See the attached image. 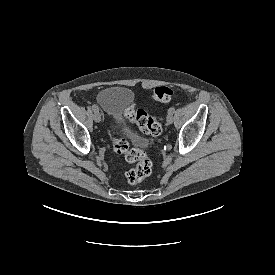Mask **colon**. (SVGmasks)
Masks as SVG:
<instances>
[{
    "mask_svg": "<svg viewBox=\"0 0 275 275\" xmlns=\"http://www.w3.org/2000/svg\"><path fill=\"white\" fill-rule=\"evenodd\" d=\"M172 96L173 90L167 86H158L154 88L152 93L153 99L161 103L170 101ZM126 116L135 122L144 134L158 136L162 132L161 119L148 114L142 109H137L133 105H130L126 109ZM113 149L116 154L123 155L126 161L136 163L126 173L130 184H138L151 174L153 165L143 150L131 147L126 139L117 137L113 139Z\"/></svg>",
    "mask_w": 275,
    "mask_h": 275,
    "instance_id": "1",
    "label": "colon"
}]
</instances>
